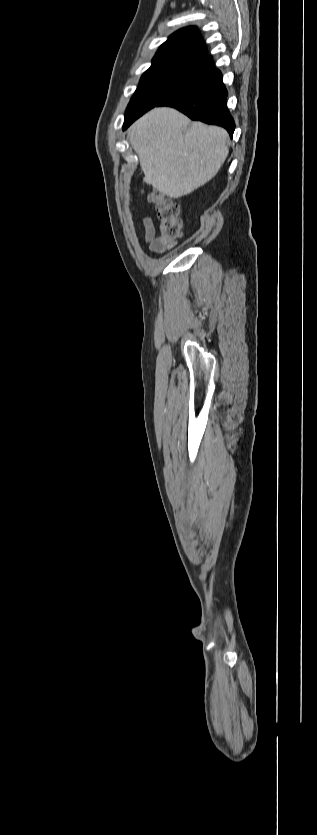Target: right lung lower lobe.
I'll use <instances>...</instances> for the list:
<instances>
[{"label": "right lung lower lobe", "instance_id": "obj_1", "mask_svg": "<svg viewBox=\"0 0 317 835\" xmlns=\"http://www.w3.org/2000/svg\"><path fill=\"white\" fill-rule=\"evenodd\" d=\"M190 60L197 71L206 77V81L169 98L159 106H171L192 120L221 126L232 138L235 123L227 108V90L221 72L215 68L211 56L207 54Z\"/></svg>", "mask_w": 317, "mask_h": 835}]
</instances>
